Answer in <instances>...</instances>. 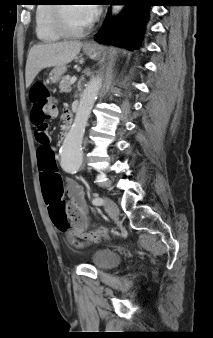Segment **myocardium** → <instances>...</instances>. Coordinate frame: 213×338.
Instances as JSON below:
<instances>
[{
	"mask_svg": "<svg viewBox=\"0 0 213 338\" xmlns=\"http://www.w3.org/2000/svg\"><path fill=\"white\" fill-rule=\"evenodd\" d=\"M53 10V26L54 29L63 37L68 38H78L87 34L91 29L92 25L90 24L86 28L78 31L71 30L67 27L64 19V9L68 5H55Z\"/></svg>",
	"mask_w": 213,
	"mask_h": 338,
	"instance_id": "myocardium-1",
	"label": "myocardium"
}]
</instances>
